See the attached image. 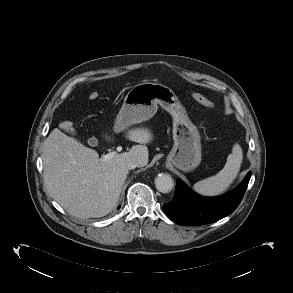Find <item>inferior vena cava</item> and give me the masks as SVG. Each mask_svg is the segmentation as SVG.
<instances>
[{"label":"inferior vena cava","instance_id":"602c4592","mask_svg":"<svg viewBox=\"0 0 293 293\" xmlns=\"http://www.w3.org/2000/svg\"><path fill=\"white\" fill-rule=\"evenodd\" d=\"M126 165H127L128 169H134L136 167H141L142 163L135 161V160H128Z\"/></svg>","mask_w":293,"mask_h":293}]
</instances>
